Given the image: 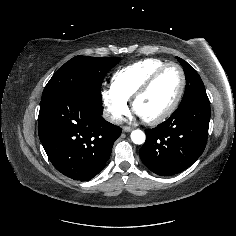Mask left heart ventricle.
Listing matches in <instances>:
<instances>
[{
  "mask_svg": "<svg viewBox=\"0 0 236 236\" xmlns=\"http://www.w3.org/2000/svg\"><path fill=\"white\" fill-rule=\"evenodd\" d=\"M180 83L179 71L175 67H169L137 101L135 106L137 115L144 119H152L161 114L175 99Z\"/></svg>",
  "mask_w": 236,
  "mask_h": 236,
  "instance_id": "1",
  "label": "left heart ventricle"
}]
</instances>
